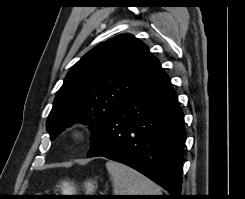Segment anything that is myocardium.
Returning a JSON list of instances; mask_svg holds the SVG:
<instances>
[{
  "label": "myocardium",
  "instance_id": "f54148a6",
  "mask_svg": "<svg viewBox=\"0 0 245 199\" xmlns=\"http://www.w3.org/2000/svg\"><path fill=\"white\" fill-rule=\"evenodd\" d=\"M69 136L73 142L82 144L87 140L88 133L86 129L81 126H73L69 131Z\"/></svg>",
  "mask_w": 245,
  "mask_h": 199
}]
</instances>
